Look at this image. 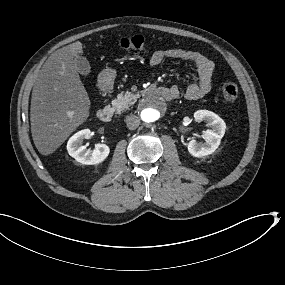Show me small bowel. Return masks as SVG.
Wrapping results in <instances>:
<instances>
[{"label": "small bowel", "mask_w": 285, "mask_h": 285, "mask_svg": "<svg viewBox=\"0 0 285 285\" xmlns=\"http://www.w3.org/2000/svg\"><path fill=\"white\" fill-rule=\"evenodd\" d=\"M165 59L187 62L197 73V78L186 85L183 90L176 85L171 87L176 92L177 97L183 93L188 100H198L210 92L214 64L206 56L196 51L175 48L154 51L150 56L149 62L152 66H158Z\"/></svg>", "instance_id": "small-bowel-1"}]
</instances>
